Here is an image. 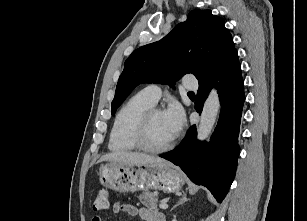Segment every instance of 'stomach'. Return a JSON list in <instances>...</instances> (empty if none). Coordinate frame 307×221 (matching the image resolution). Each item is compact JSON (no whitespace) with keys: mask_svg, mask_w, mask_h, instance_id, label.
<instances>
[{"mask_svg":"<svg viewBox=\"0 0 307 221\" xmlns=\"http://www.w3.org/2000/svg\"><path fill=\"white\" fill-rule=\"evenodd\" d=\"M99 181L119 192L147 191L150 188L176 192L185 179L179 169L167 161L139 165L110 162L100 167Z\"/></svg>","mask_w":307,"mask_h":221,"instance_id":"stomach-1","label":"stomach"}]
</instances>
